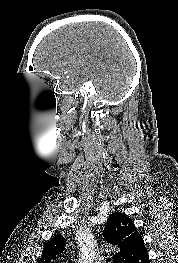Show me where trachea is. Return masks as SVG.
Here are the masks:
<instances>
[{"instance_id":"trachea-1","label":"trachea","mask_w":178,"mask_h":263,"mask_svg":"<svg viewBox=\"0 0 178 263\" xmlns=\"http://www.w3.org/2000/svg\"><path fill=\"white\" fill-rule=\"evenodd\" d=\"M111 261V258L106 259V263H109Z\"/></svg>"}]
</instances>
